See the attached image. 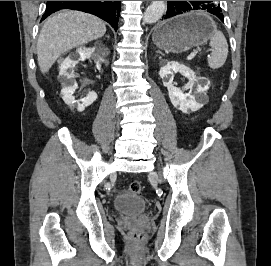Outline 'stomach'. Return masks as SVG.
I'll use <instances>...</instances> for the list:
<instances>
[{"label":"stomach","instance_id":"obj_1","mask_svg":"<svg viewBox=\"0 0 271 266\" xmlns=\"http://www.w3.org/2000/svg\"><path fill=\"white\" fill-rule=\"evenodd\" d=\"M215 29L207 14L195 11L159 23L154 28L152 39L165 52L181 53L205 44Z\"/></svg>","mask_w":271,"mask_h":266}]
</instances>
